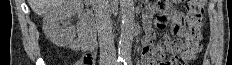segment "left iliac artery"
Wrapping results in <instances>:
<instances>
[{"label": "left iliac artery", "mask_w": 232, "mask_h": 65, "mask_svg": "<svg viewBox=\"0 0 232 65\" xmlns=\"http://www.w3.org/2000/svg\"><path fill=\"white\" fill-rule=\"evenodd\" d=\"M123 62H124V65H132L130 56H126Z\"/></svg>", "instance_id": "44dca946"}]
</instances>
